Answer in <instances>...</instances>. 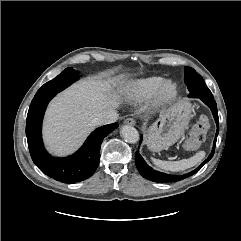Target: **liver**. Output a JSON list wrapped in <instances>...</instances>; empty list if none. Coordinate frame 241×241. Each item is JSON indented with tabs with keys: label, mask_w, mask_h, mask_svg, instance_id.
<instances>
[{
	"label": "liver",
	"mask_w": 241,
	"mask_h": 241,
	"mask_svg": "<svg viewBox=\"0 0 241 241\" xmlns=\"http://www.w3.org/2000/svg\"><path fill=\"white\" fill-rule=\"evenodd\" d=\"M123 76L107 81L93 77L60 93L49 105L43 134L48 149L65 155L74 151L95 127L93 119L120 104Z\"/></svg>",
	"instance_id": "1"
}]
</instances>
